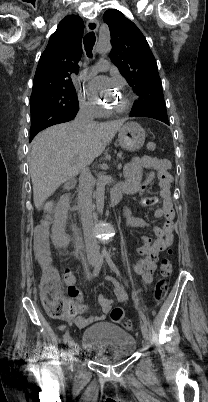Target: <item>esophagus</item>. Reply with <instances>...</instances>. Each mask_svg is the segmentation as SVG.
Instances as JSON below:
<instances>
[{"label": "esophagus", "instance_id": "esophagus-1", "mask_svg": "<svg viewBox=\"0 0 208 402\" xmlns=\"http://www.w3.org/2000/svg\"><path fill=\"white\" fill-rule=\"evenodd\" d=\"M87 30L89 31V32H96L97 30H98V27H99V23H98V21L97 20H89L88 22H87Z\"/></svg>", "mask_w": 208, "mask_h": 402}]
</instances>
